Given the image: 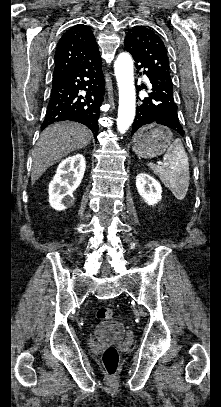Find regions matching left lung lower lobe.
<instances>
[{"instance_id":"left-lung-lower-lobe-1","label":"left lung lower lobe","mask_w":221,"mask_h":407,"mask_svg":"<svg viewBox=\"0 0 221 407\" xmlns=\"http://www.w3.org/2000/svg\"><path fill=\"white\" fill-rule=\"evenodd\" d=\"M124 46V49L131 53L128 41H124ZM134 60L138 70L146 68L143 74H146L149 78L152 85V92L148 94L149 97L139 99L132 134L143 125L157 123L167 126L183 136L184 130L177 115V105L174 101L172 80L155 74L150 71L145 64L138 62L136 59ZM143 87L144 86H142V88ZM139 90H141L140 86Z\"/></svg>"}]
</instances>
